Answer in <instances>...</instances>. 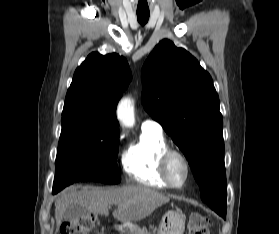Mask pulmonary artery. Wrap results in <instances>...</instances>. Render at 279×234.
I'll return each instance as SVG.
<instances>
[{
  "instance_id": "pulmonary-artery-1",
  "label": "pulmonary artery",
  "mask_w": 279,
  "mask_h": 234,
  "mask_svg": "<svg viewBox=\"0 0 279 234\" xmlns=\"http://www.w3.org/2000/svg\"><path fill=\"white\" fill-rule=\"evenodd\" d=\"M141 129L145 130V131H153V132H158V133L162 132V126L153 119L144 120L142 123Z\"/></svg>"
}]
</instances>
